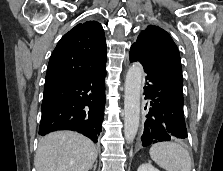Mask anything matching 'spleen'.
I'll list each match as a JSON object with an SVG mask.
<instances>
[{"instance_id": "3e777b00", "label": "spleen", "mask_w": 223, "mask_h": 171, "mask_svg": "<svg viewBox=\"0 0 223 171\" xmlns=\"http://www.w3.org/2000/svg\"><path fill=\"white\" fill-rule=\"evenodd\" d=\"M151 159L166 171H191L189 152L174 142H159L149 151Z\"/></svg>"}]
</instances>
